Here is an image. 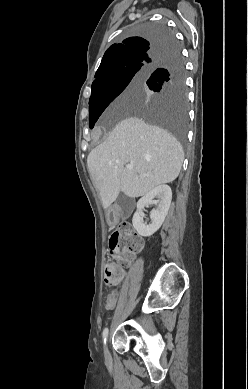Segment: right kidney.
I'll list each match as a JSON object with an SVG mask.
<instances>
[{
	"instance_id": "ca27d5eb",
	"label": "right kidney",
	"mask_w": 248,
	"mask_h": 389,
	"mask_svg": "<svg viewBox=\"0 0 248 389\" xmlns=\"http://www.w3.org/2000/svg\"><path fill=\"white\" fill-rule=\"evenodd\" d=\"M154 198H158V200L154 201ZM171 199V188L168 185H160L152 189L138 201L132 224L140 236L149 237L161 227L170 208ZM153 202L158 206L150 212L151 224L147 225L143 221L142 210L145 206H148Z\"/></svg>"
}]
</instances>
